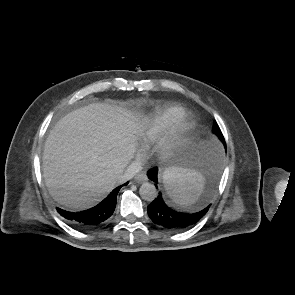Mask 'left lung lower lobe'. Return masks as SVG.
<instances>
[{"label":"left lung lower lobe","instance_id":"1","mask_svg":"<svg viewBox=\"0 0 295 295\" xmlns=\"http://www.w3.org/2000/svg\"><path fill=\"white\" fill-rule=\"evenodd\" d=\"M157 171V168H153L147 173L155 183H157ZM209 207L210 205L192 214L176 212L165 204L159 193L158 198L148 205L147 211L151 220L160 227L170 231H183L196 224L207 213Z\"/></svg>","mask_w":295,"mask_h":295}]
</instances>
